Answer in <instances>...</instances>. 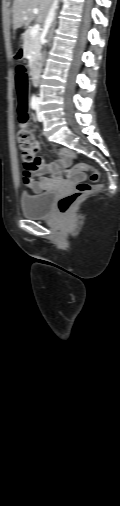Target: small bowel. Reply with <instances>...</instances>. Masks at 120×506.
<instances>
[{
    "instance_id": "obj_1",
    "label": "small bowel",
    "mask_w": 120,
    "mask_h": 506,
    "mask_svg": "<svg viewBox=\"0 0 120 506\" xmlns=\"http://www.w3.org/2000/svg\"><path fill=\"white\" fill-rule=\"evenodd\" d=\"M37 145L39 147V142H37ZM56 153L59 156L58 160L46 163L43 159L38 158V168L32 172H25L23 179L24 184L33 192H41L44 190L49 182L48 176L58 179L60 178L61 171L70 166L73 157L72 150L68 148H58ZM82 178V174H77L74 180L77 181Z\"/></svg>"
}]
</instances>
